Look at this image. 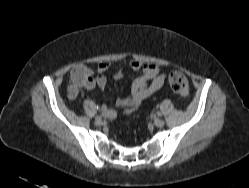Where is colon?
I'll use <instances>...</instances> for the list:
<instances>
[{"mask_svg":"<svg viewBox=\"0 0 249 188\" xmlns=\"http://www.w3.org/2000/svg\"><path fill=\"white\" fill-rule=\"evenodd\" d=\"M80 78V73L76 74ZM169 84L172 90L183 98H186L189 93L188 80L184 74L180 72H172L169 76Z\"/></svg>","mask_w":249,"mask_h":188,"instance_id":"colon-1","label":"colon"}]
</instances>
